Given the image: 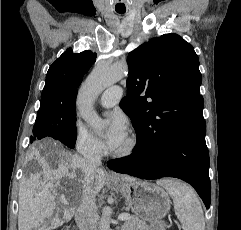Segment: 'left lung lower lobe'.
I'll return each instance as SVG.
<instances>
[{
	"mask_svg": "<svg viewBox=\"0 0 241 230\" xmlns=\"http://www.w3.org/2000/svg\"><path fill=\"white\" fill-rule=\"evenodd\" d=\"M115 172L143 179L174 177L191 184L210 207L209 152L205 135L174 133L159 141L137 138L130 156L110 160Z\"/></svg>",
	"mask_w": 241,
	"mask_h": 230,
	"instance_id": "left-lung-lower-lobe-1",
	"label": "left lung lower lobe"
}]
</instances>
